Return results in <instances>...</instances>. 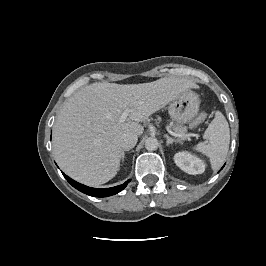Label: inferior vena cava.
Returning a JSON list of instances; mask_svg holds the SVG:
<instances>
[{
  "label": "inferior vena cava",
  "instance_id": "inferior-vena-cava-1",
  "mask_svg": "<svg viewBox=\"0 0 266 266\" xmlns=\"http://www.w3.org/2000/svg\"><path fill=\"white\" fill-rule=\"evenodd\" d=\"M138 140V136L136 134L133 133H127L124 134L121 138V147L124 150H130L131 148H133Z\"/></svg>",
  "mask_w": 266,
  "mask_h": 266
}]
</instances>
